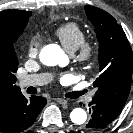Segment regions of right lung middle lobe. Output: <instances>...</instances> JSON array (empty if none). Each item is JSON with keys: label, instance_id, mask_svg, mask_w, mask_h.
Wrapping results in <instances>:
<instances>
[{"label": "right lung middle lobe", "instance_id": "obj_1", "mask_svg": "<svg viewBox=\"0 0 133 133\" xmlns=\"http://www.w3.org/2000/svg\"><path fill=\"white\" fill-rule=\"evenodd\" d=\"M27 21L16 30L0 33V83H15L14 73L18 69V60L13 44L22 34Z\"/></svg>", "mask_w": 133, "mask_h": 133}]
</instances>
